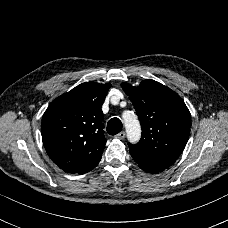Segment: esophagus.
Segmentation results:
<instances>
[{"label":"esophagus","mask_w":228,"mask_h":228,"mask_svg":"<svg viewBox=\"0 0 228 228\" xmlns=\"http://www.w3.org/2000/svg\"><path fill=\"white\" fill-rule=\"evenodd\" d=\"M125 136H126L125 132L122 131L115 136V139L123 140L125 138Z\"/></svg>","instance_id":"esophagus-1"}]
</instances>
